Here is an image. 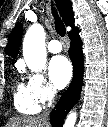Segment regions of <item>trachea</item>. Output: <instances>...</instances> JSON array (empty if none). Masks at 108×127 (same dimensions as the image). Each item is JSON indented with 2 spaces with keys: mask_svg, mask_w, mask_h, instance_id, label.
<instances>
[{
  "mask_svg": "<svg viewBox=\"0 0 108 127\" xmlns=\"http://www.w3.org/2000/svg\"><path fill=\"white\" fill-rule=\"evenodd\" d=\"M53 6V4H52ZM52 14L54 16V19H55V29H56V32L61 36H65L66 34V28H65V25L63 23V21L59 18L56 10L54 7H52Z\"/></svg>",
  "mask_w": 108,
  "mask_h": 127,
  "instance_id": "3493384b",
  "label": "trachea"
}]
</instances>
